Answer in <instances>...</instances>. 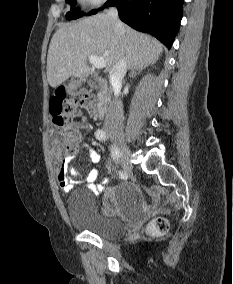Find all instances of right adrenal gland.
<instances>
[{
	"label": "right adrenal gland",
	"mask_w": 233,
	"mask_h": 284,
	"mask_svg": "<svg viewBox=\"0 0 233 284\" xmlns=\"http://www.w3.org/2000/svg\"><path fill=\"white\" fill-rule=\"evenodd\" d=\"M138 72H139L138 69L133 68L132 71H131V73H130V77H135Z\"/></svg>",
	"instance_id": "1"
}]
</instances>
